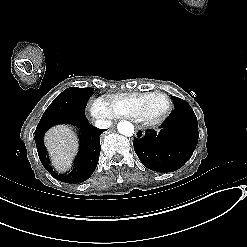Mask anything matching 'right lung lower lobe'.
Instances as JSON below:
<instances>
[{
  "instance_id": "obj_1",
  "label": "right lung lower lobe",
  "mask_w": 247,
  "mask_h": 247,
  "mask_svg": "<svg viewBox=\"0 0 247 247\" xmlns=\"http://www.w3.org/2000/svg\"><path fill=\"white\" fill-rule=\"evenodd\" d=\"M58 123L72 124L80 130V149L75 159L74 168L68 174H58L50 166L46 150L43 145L44 133ZM103 129L90 125L85 115L62 116L46 121H40L35 130V142L40 161L44 168L57 180L66 183H81L87 180L94 172L101 150L100 135Z\"/></svg>"
}]
</instances>
